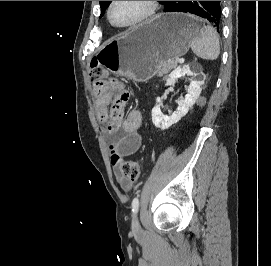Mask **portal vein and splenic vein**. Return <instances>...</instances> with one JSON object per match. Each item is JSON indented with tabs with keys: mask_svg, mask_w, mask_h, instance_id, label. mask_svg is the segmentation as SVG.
<instances>
[{
	"mask_svg": "<svg viewBox=\"0 0 271 266\" xmlns=\"http://www.w3.org/2000/svg\"><path fill=\"white\" fill-rule=\"evenodd\" d=\"M184 58H180V59H178V63H180V64H183L184 63Z\"/></svg>",
	"mask_w": 271,
	"mask_h": 266,
	"instance_id": "1",
	"label": "portal vein and splenic vein"
}]
</instances>
